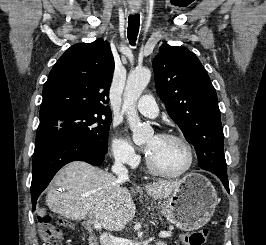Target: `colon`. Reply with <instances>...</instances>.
<instances>
[{
  "mask_svg": "<svg viewBox=\"0 0 266 245\" xmlns=\"http://www.w3.org/2000/svg\"><path fill=\"white\" fill-rule=\"evenodd\" d=\"M38 230L43 240L44 245H63L60 239V234L52 223V218L49 213L41 212L38 217ZM209 234L207 228L192 231L183 235V240L186 245H204Z\"/></svg>",
  "mask_w": 266,
  "mask_h": 245,
  "instance_id": "colon-1",
  "label": "colon"
}]
</instances>
